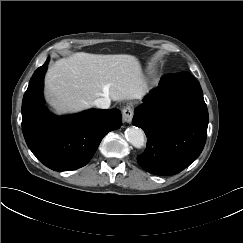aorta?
Listing matches in <instances>:
<instances>
[{
    "mask_svg": "<svg viewBox=\"0 0 243 243\" xmlns=\"http://www.w3.org/2000/svg\"><path fill=\"white\" fill-rule=\"evenodd\" d=\"M125 137L130 144L136 148H141L145 143V134L138 127H129L125 131Z\"/></svg>",
    "mask_w": 243,
    "mask_h": 243,
    "instance_id": "762f6f07",
    "label": "aorta"
}]
</instances>
